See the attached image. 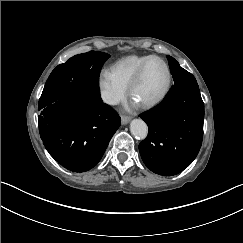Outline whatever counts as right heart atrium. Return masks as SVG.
Segmentation results:
<instances>
[{
  "label": "right heart atrium",
  "instance_id": "d8ad5b80",
  "mask_svg": "<svg viewBox=\"0 0 243 243\" xmlns=\"http://www.w3.org/2000/svg\"><path fill=\"white\" fill-rule=\"evenodd\" d=\"M100 99L108 105H116L128 94L127 88L118 80L112 66H102L96 76Z\"/></svg>",
  "mask_w": 243,
  "mask_h": 243
}]
</instances>
